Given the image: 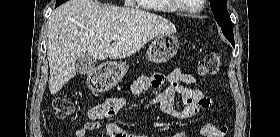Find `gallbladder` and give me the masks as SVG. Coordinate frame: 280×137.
Returning <instances> with one entry per match:
<instances>
[{"label": "gallbladder", "instance_id": "obj_1", "mask_svg": "<svg viewBox=\"0 0 280 137\" xmlns=\"http://www.w3.org/2000/svg\"><path fill=\"white\" fill-rule=\"evenodd\" d=\"M97 66V59L90 55L89 53H85L82 56L78 57L75 61V68L78 74L87 75L93 72Z\"/></svg>", "mask_w": 280, "mask_h": 137}]
</instances>
